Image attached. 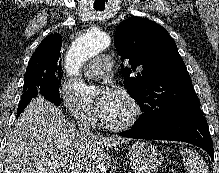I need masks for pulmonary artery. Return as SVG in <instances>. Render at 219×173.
<instances>
[{
    "instance_id": "1",
    "label": "pulmonary artery",
    "mask_w": 219,
    "mask_h": 173,
    "mask_svg": "<svg viewBox=\"0 0 219 173\" xmlns=\"http://www.w3.org/2000/svg\"><path fill=\"white\" fill-rule=\"evenodd\" d=\"M112 68V60L108 55H99L85 68V75L91 79L105 76Z\"/></svg>"
}]
</instances>
